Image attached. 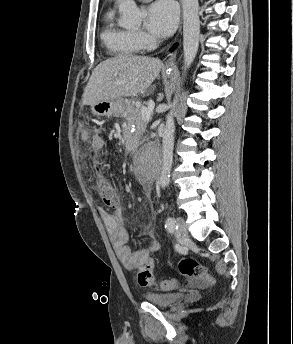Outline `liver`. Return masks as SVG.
<instances>
[{
	"label": "liver",
	"mask_w": 293,
	"mask_h": 344,
	"mask_svg": "<svg viewBox=\"0 0 293 344\" xmlns=\"http://www.w3.org/2000/svg\"><path fill=\"white\" fill-rule=\"evenodd\" d=\"M163 67L158 58L119 55L100 63L84 90L83 104L136 96L150 87Z\"/></svg>",
	"instance_id": "6515ba94"
}]
</instances>
